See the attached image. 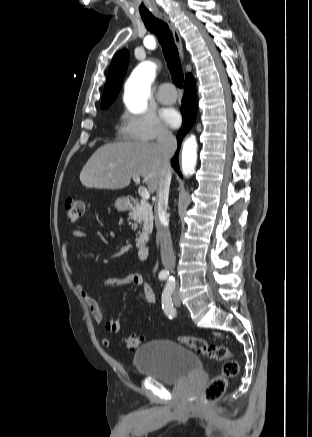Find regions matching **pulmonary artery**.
<instances>
[{
  "mask_svg": "<svg viewBox=\"0 0 312 437\" xmlns=\"http://www.w3.org/2000/svg\"><path fill=\"white\" fill-rule=\"evenodd\" d=\"M156 97L162 104H172L176 101L177 94L171 84H163L159 87Z\"/></svg>",
  "mask_w": 312,
  "mask_h": 437,
  "instance_id": "1",
  "label": "pulmonary artery"
}]
</instances>
